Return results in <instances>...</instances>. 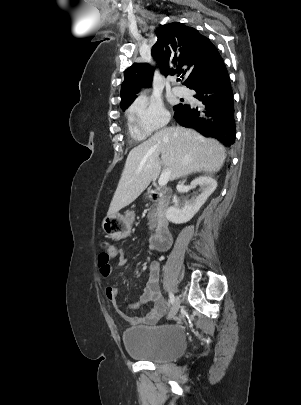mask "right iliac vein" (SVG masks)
<instances>
[{"instance_id":"63e3f726","label":"right iliac vein","mask_w":301,"mask_h":405,"mask_svg":"<svg viewBox=\"0 0 301 405\" xmlns=\"http://www.w3.org/2000/svg\"><path fill=\"white\" fill-rule=\"evenodd\" d=\"M179 307H180V299H179V297H176V299L171 307V310L168 314L169 319L173 318L177 314Z\"/></svg>"}]
</instances>
